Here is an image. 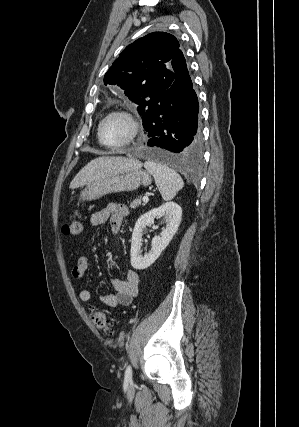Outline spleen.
<instances>
[{"instance_id":"spleen-1","label":"spleen","mask_w":299,"mask_h":427,"mask_svg":"<svg viewBox=\"0 0 299 427\" xmlns=\"http://www.w3.org/2000/svg\"><path fill=\"white\" fill-rule=\"evenodd\" d=\"M144 167L154 177L155 184L165 201L172 200L183 188L181 176L172 168L152 160H147Z\"/></svg>"}]
</instances>
